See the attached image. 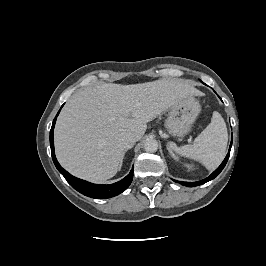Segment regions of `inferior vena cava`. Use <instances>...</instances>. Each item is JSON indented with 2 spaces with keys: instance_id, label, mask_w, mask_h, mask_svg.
I'll return each instance as SVG.
<instances>
[{
  "instance_id": "inferior-vena-cava-1",
  "label": "inferior vena cava",
  "mask_w": 266,
  "mask_h": 266,
  "mask_svg": "<svg viewBox=\"0 0 266 266\" xmlns=\"http://www.w3.org/2000/svg\"><path fill=\"white\" fill-rule=\"evenodd\" d=\"M137 141V138L132 135V134H126L122 137V146L125 148V149H130L134 146V144L136 143Z\"/></svg>"
}]
</instances>
